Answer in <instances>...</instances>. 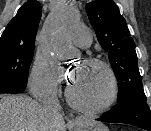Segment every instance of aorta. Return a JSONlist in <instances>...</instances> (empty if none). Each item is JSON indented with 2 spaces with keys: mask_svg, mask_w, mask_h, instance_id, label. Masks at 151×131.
Returning <instances> with one entry per match:
<instances>
[{
  "mask_svg": "<svg viewBox=\"0 0 151 131\" xmlns=\"http://www.w3.org/2000/svg\"><path fill=\"white\" fill-rule=\"evenodd\" d=\"M77 21V15L68 6L57 8L52 14L47 32L50 40L57 46L58 53L65 58L75 56V52L69 47L63 36L67 29Z\"/></svg>",
  "mask_w": 151,
  "mask_h": 131,
  "instance_id": "obj_1",
  "label": "aorta"
}]
</instances>
